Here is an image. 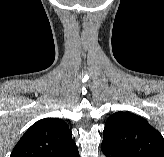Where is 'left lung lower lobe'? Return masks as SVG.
<instances>
[{
  "label": "left lung lower lobe",
  "mask_w": 164,
  "mask_h": 157,
  "mask_svg": "<svg viewBox=\"0 0 164 157\" xmlns=\"http://www.w3.org/2000/svg\"><path fill=\"white\" fill-rule=\"evenodd\" d=\"M101 149L105 154V157H122L116 150H114L111 146L106 143L101 144Z\"/></svg>",
  "instance_id": "0a47b994"
}]
</instances>
